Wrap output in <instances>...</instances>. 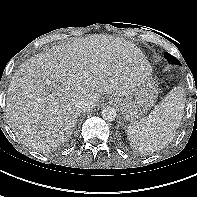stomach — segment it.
<instances>
[{
	"instance_id": "0dacf381",
	"label": "stomach",
	"mask_w": 197,
	"mask_h": 197,
	"mask_svg": "<svg viewBox=\"0 0 197 197\" xmlns=\"http://www.w3.org/2000/svg\"><path fill=\"white\" fill-rule=\"evenodd\" d=\"M158 87L151 75L145 76L139 85L127 96L113 95L111 101L117 104L125 121L136 122L154 106Z\"/></svg>"
}]
</instances>
